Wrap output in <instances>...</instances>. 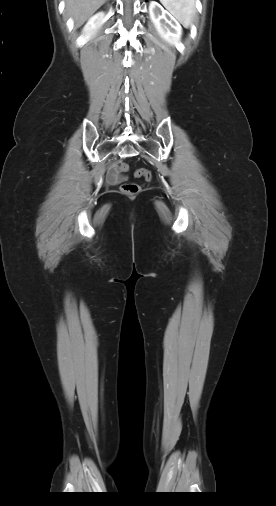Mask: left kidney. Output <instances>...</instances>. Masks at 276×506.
I'll use <instances>...</instances> for the list:
<instances>
[{
	"instance_id": "left-kidney-1",
	"label": "left kidney",
	"mask_w": 276,
	"mask_h": 506,
	"mask_svg": "<svg viewBox=\"0 0 276 506\" xmlns=\"http://www.w3.org/2000/svg\"><path fill=\"white\" fill-rule=\"evenodd\" d=\"M149 13L159 35L170 45H178L182 35L179 23L155 1L150 3Z\"/></svg>"
}]
</instances>
